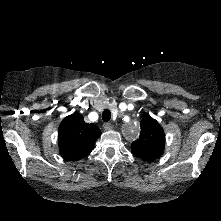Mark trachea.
<instances>
[{"label":"trachea","instance_id":"1","mask_svg":"<svg viewBox=\"0 0 221 221\" xmlns=\"http://www.w3.org/2000/svg\"><path fill=\"white\" fill-rule=\"evenodd\" d=\"M102 119H103V121H105V122H108V121L111 119V112H110L108 109H106V110L103 111V113H102Z\"/></svg>","mask_w":221,"mask_h":221}]
</instances>
